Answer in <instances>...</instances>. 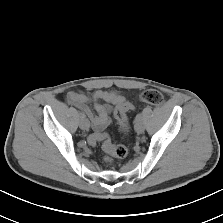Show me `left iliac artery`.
Instances as JSON below:
<instances>
[{
	"instance_id": "1",
	"label": "left iliac artery",
	"mask_w": 223,
	"mask_h": 223,
	"mask_svg": "<svg viewBox=\"0 0 223 223\" xmlns=\"http://www.w3.org/2000/svg\"><path fill=\"white\" fill-rule=\"evenodd\" d=\"M142 119V114L138 113L135 117V121L141 120Z\"/></svg>"
}]
</instances>
